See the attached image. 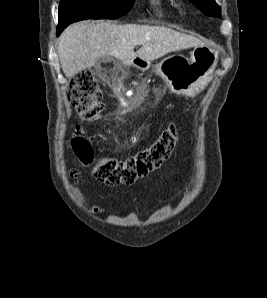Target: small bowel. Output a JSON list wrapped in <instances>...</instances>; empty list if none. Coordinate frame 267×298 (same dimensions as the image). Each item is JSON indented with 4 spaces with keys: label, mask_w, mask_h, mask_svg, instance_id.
<instances>
[{
    "label": "small bowel",
    "mask_w": 267,
    "mask_h": 298,
    "mask_svg": "<svg viewBox=\"0 0 267 298\" xmlns=\"http://www.w3.org/2000/svg\"><path fill=\"white\" fill-rule=\"evenodd\" d=\"M93 211H94V212H98V211H99V208H98L97 206H94V207H93Z\"/></svg>",
    "instance_id": "c3829d8e"
}]
</instances>
